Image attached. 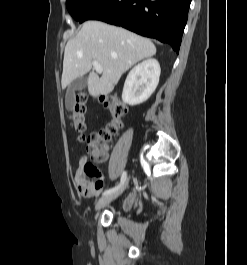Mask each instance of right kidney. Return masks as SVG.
I'll list each match as a JSON object with an SVG mask.
<instances>
[{
    "label": "right kidney",
    "mask_w": 247,
    "mask_h": 265,
    "mask_svg": "<svg viewBox=\"0 0 247 265\" xmlns=\"http://www.w3.org/2000/svg\"><path fill=\"white\" fill-rule=\"evenodd\" d=\"M160 73L156 59H147L136 65L125 80L122 100L131 106L145 102L155 91Z\"/></svg>",
    "instance_id": "right-kidney-1"
}]
</instances>
